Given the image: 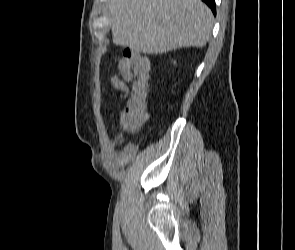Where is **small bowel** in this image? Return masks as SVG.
Wrapping results in <instances>:
<instances>
[{
    "instance_id": "small-bowel-1",
    "label": "small bowel",
    "mask_w": 295,
    "mask_h": 250,
    "mask_svg": "<svg viewBox=\"0 0 295 250\" xmlns=\"http://www.w3.org/2000/svg\"><path fill=\"white\" fill-rule=\"evenodd\" d=\"M150 60L141 54L131 53L130 56L119 61V76H114L111 84L115 89L121 92V97L128 93L126 82L135 78H144L148 80L150 72Z\"/></svg>"
}]
</instances>
